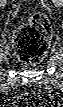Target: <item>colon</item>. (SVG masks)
I'll return each mask as SVG.
<instances>
[{"mask_svg":"<svg viewBox=\"0 0 63 107\" xmlns=\"http://www.w3.org/2000/svg\"><path fill=\"white\" fill-rule=\"evenodd\" d=\"M51 37L49 21L41 13H32L26 24L16 30L13 36L15 52L18 58L35 64L45 55Z\"/></svg>","mask_w":63,"mask_h":107,"instance_id":"5ec220e1","label":"colon"}]
</instances>
